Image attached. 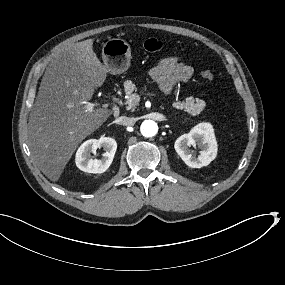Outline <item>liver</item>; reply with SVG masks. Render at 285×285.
<instances>
[{
  "label": "liver",
  "instance_id": "obj_1",
  "mask_svg": "<svg viewBox=\"0 0 285 285\" xmlns=\"http://www.w3.org/2000/svg\"><path fill=\"white\" fill-rule=\"evenodd\" d=\"M107 72L93 51V39L59 50L46 68L29 116L28 146L51 181L60 178L79 143L112 114L88 103Z\"/></svg>",
  "mask_w": 285,
  "mask_h": 285
}]
</instances>
